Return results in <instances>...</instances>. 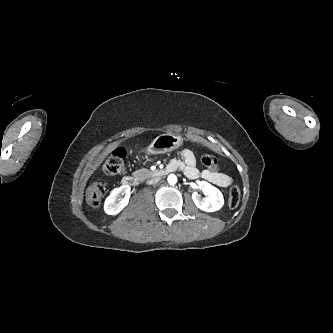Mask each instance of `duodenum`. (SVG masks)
<instances>
[{"instance_id":"obj_1","label":"duodenum","mask_w":333,"mask_h":333,"mask_svg":"<svg viewBox=\"0 0 333 333\" xmlns=\"http://www.w3.org/2000/svg\"><path fill=\"white\" fill-rule=\"evenodd\" d=\"M176 170V166L168 164L166 167L161 168L155 172L156 176L162 177ZM123 185L135 187L139 184V179L135 175H127L122 178Z\"/></svg>"}]
</instances>
